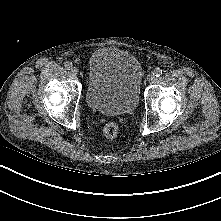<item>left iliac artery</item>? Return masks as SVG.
<instances>
[{
	"mask_svg": "<svg viewBox=\"0 0 221 221\" xmlns=\"http://www.w3.org/2000/svg\"><path fill=\"white\" fill-rule=\"evenodd\" d=\"M154 75H155L156 77L161 76V75H162V70H161L160 68H156V69L154 70Z\"/></svg>",
	"mask_w": 221,
	"mask_h": 221,
	"instance_id": "44dca946",
	"label": "left iliac artery"
}]
</instances>
